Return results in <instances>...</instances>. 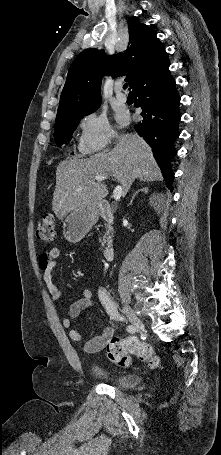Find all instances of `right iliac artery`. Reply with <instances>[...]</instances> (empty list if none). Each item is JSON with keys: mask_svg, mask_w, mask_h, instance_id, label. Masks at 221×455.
Returning a JSON list of instances; mask_svg holds the SVG:
<instances>
[{"mask_svg": "<svg viewBox=\"0 0 221 455\" xmlns=\"http://www.w3.org/2000/svg\"><path fill=\"white\" fill-rule=\"evenodd\" d=\"M98 296L100 302L105 307L106 312L110 315V317H112L113 319L123 321L124 318L120 316V314L118 313L116 304L112 300L110 293L106 289L101 288L98 292ZM127 331L131 335L134 334L135 332L132 325L127 326Z\"/></svg>", "mask_w": 221, "mask_h": 455, "instance_id": "1", "label": "right iliac artery"}]
</instances>
